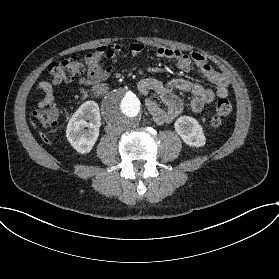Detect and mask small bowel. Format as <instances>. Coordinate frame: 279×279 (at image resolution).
Listing matches in <instances>:
<instances>
[{
  "label": "small bowel",
  "instance_id": "c3829d8e",
  "mask_svg": "<svg viewBox=\"0 0 279 279\" xmlns=\"http://www.w3.org/2000/svg\"><path fill=\"white\" fill-rule=\"evenodd\" d=\"M120 48L118 43H107L101 44L87 53L85 55L86 76L79 82L92 88L100 86L114 72ZM130 49L132 54L137 55L143 51L144 45L136 42L131 44ZM156 57L175 61L177 67L182 71H189L195 65L213 85L218 97L224 98L229 95L228 78L214 70L202 53L197 51L187 53L175 48L160 47L156 50ZM37 90L44 93L38 106L43 107L54 102V86L50 80L40 82ZM137 90L143 95L154 92L164 103L165 107H162L151 98L145 99V107L157 124L171 122L185 109L199 112L211 104L215 98V93L208 86L185 78H175L164 83L155 77H145L137 82ZM175 90L189 92L190 100L184 102L174 93Z\"/></svg>",
  "mask_w": 279,
  "mask_h": 279
}]
</instances>
